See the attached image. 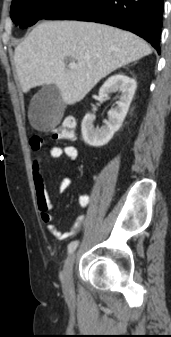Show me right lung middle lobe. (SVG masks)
<instances>
[{
    "mask_svg": "<svg viewBox=\"0 0 171 337\" xmlns=\"http://www.w3.org/2000/svg\"><path fill=\"white\" fill-rule=\"evenodd\" d=\"M69 0H13L11 18L16 26L26 28L48 17Z\"/></svg>",
    "mask_w": 171,
    "mask_h": 337,
    "instance_id": "obj_1",
    "label": "right lung middle lobe"
}]
</instances>
